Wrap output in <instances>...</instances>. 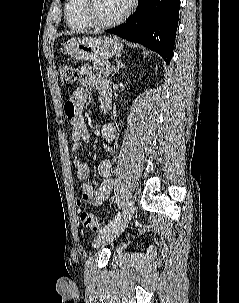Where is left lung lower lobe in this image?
Segmentation results:
<instances>
[{
  "label": "left lung lower lobe",
  "instance_id": "obj_1",
  "mask_svg": "<svg viewBox=\"0 0 239 303\" xmlns=\"http://www.w3.org/2000/svg\"><path fill=\"white\" fill-rule=\"evenodd\" d=\"M180 0H138L135 14L116 28L106 30L157 52L169 64L178 26Z\"/></svg>",
  "mask_w": 239,
  "mask_h": 303
}]
</instances>
